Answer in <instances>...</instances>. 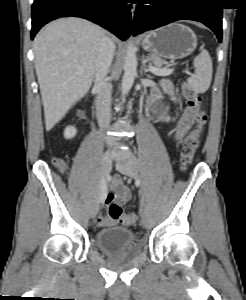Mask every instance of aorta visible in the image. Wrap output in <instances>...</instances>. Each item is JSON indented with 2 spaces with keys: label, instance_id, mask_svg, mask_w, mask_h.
<instances>
[{
  "label": "aorta",
  "instance_id": "762f6f07",
  "mask_svg": "<svg viewBox=\"0 0 246 300\" xmlns=\"http://www.w3.org/2000/svg\"><path fill=\"white\" fill-rule=\"evenodd\" d=\"M137 75V58L136 48L129 45L127 48L125 62H124V75L122 77L121 95L122 98L129 93Z\"/></svg>",
  "mask_w": 246,
  "mask_h": 300
}]
</instances>
